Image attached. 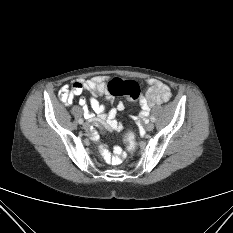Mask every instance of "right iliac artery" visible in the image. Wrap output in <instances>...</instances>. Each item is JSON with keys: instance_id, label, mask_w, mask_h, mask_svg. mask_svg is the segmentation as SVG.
Listing matches in <instances>:
<instances>
[{"instance_id": "right-iliac-artery-1", "label": "right iliac artery", "mask_w": 233, "mask_h": 233, "mask_svg": "<svg viewBox=\"0 0 233 233\" xmlns=\"http://www.w3.org/2000/svg\"><path fill=\"white\" fill-rule=\"evenodd\" d=\"M78 122H79V124H82L83 123V119H79Z\"/></svg>"}]
</instances>
